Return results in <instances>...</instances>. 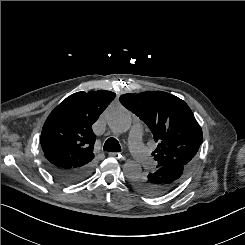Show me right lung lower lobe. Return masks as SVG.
Instances as JSON below:
<instances>
[{
	"mask_svg": "<svg viewBox=\"0 0 245 245\" xmlns=\"http://www.w3.org/2000/svg\"><path fill=\"white\" fill-rule=\"evenodd\" d=\"M47 169L58 179L66 183H76L87 178L93 171V163L79 169H63L46 164Z\"/></svg>",
	"mask_w": 245,
	"mask_h": 245,
	"instance_id": "right-lung-lower-lobe-1",
	"label": "right lung lower lobe"
}]
</instances>
